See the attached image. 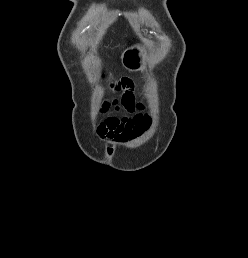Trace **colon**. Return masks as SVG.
Listing matches in <instances>:
<instances>
[{"label":"colon","instance_id":"obj_1","mask_svg":"<svg viewBox=\"0 0 248 258\" xmlns=\"http://www.w3.org/2000/svg\"><path fill=\"white\" fill-rule=\"evenodd\" d=\"M120 122V120L118 118H115V117H110L108 119V123L110 126H115L117 125L118 123Z\"/></svg>","mask_w":248,"mask_h":258}]
</instances>
